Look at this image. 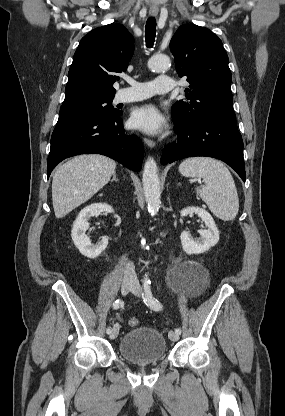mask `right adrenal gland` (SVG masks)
Segmentation results:
<instances>
[{"instance_id": "right-adrenal-gland-1", "label": "right adrenal gland", "mask_w": 285, "mask_h": 416, "mask_svg": "<svg viewBox=\"0 0 285 416\" xmlns=\"http://www.w3.org/2000/svg\"><path fill=\"white\" fill-rule=\"evenodd\" d=\"M111 182H119L118 178H116V174H113Z\"/></svg>"}]
</instances>
